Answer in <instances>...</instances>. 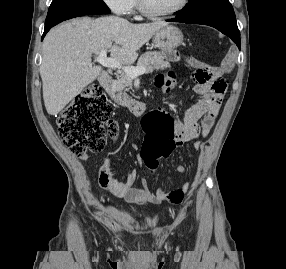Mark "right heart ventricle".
I'll return each mask as SVG.
<instances>
[{"label":"right heart ventricle","instance_id":"right-heart-ventricle-1","mask_svg":"<svg viewBox=\"0 0 286 269\" xmlns=\"http://www.w3.org/2000/svg\"><path fill=\"white\" fill-rule=\"evenodd\" d=\"M137 5V1L133 0V7Z\"/></svg>","mask_w":286,"mask_h":269}]
</instances>
